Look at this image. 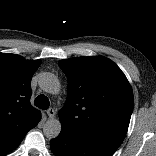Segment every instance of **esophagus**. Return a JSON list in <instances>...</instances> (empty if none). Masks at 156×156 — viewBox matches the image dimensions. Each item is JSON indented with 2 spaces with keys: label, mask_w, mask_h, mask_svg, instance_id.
<instances>
[{
  "label": "esophagus",
  "mask_w": 156,
  "mask_h": 156,
  "mask_svg": "<svg viewBox=\"0 0 156 156\" xmlns=\"http://www.w3.org/2000/svg\"><path fill=\"white\" fill-rule=\"evenodd\" d=\"M56 112L53 108H49L47 110V115L50 117V118H53L55 116Z\"/></svg>",
  "instance_id": "esophagus-1"
}]
</instances>
